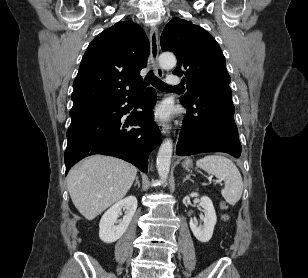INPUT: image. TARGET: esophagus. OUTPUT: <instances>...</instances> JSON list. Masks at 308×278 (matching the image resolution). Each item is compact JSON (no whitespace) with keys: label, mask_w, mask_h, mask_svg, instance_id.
<instances>
[{"label":"esophagus","mask_w":308,"mask_h":278,"mask_svg":"<svg viewBox=\"0 0 308 278\" xmlns=\"http://www.w3.org/2000/svg\"><path fill=\"white\" fill-rule=\"evenodd\" d=\"M158 55H159L158 28L156 26H152L150 29V57L153 63L155 74L159 77H162L164 75V72L158 64ZM158 127L163 135H168L170 133V127L167 123L158 122Z\"/></svg>","instance_id":"obj_1"}]
</instances>
